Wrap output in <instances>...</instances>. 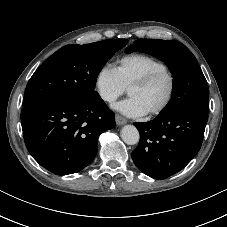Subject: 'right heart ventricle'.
<instances>
[{
    "mask_svg": "<svg viewBox=\"0 0 227 227\" xmlns=\"http://www.w3.org/2000/svg\"><path fill=\"white\" fill-rule=\"evenodd\" d=\"M166 65L146 54H128L118 58L114 70L122 84L127 88L135 80L156 69L165 68Z\"/></svg>",
    "mask_w": 227,
    "mask_h": 227,
    "instance_id": "right-heart-ventricle-1",
    "label": "right heart ventricle"
}]
</instances>
